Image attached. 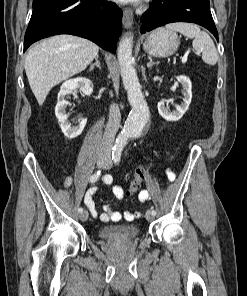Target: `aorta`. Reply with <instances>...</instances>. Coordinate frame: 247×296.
I'll list each match as a JSON object with an SVG mask.
<instances>
[{
	"label": "aorta",
	"mask_w": 247,
	"mask_h": 296,
	"mask_svg": "<svg viewBox=\"0 0 247 296\" xmlns=\"http://www.w3.org/2000/svg\"><path fill=\"white\" fill-rule=\"evenodd\" d=\"M133 36L125 35L119 43L117 58L123 85L132 107L122 132L116 140V147L123 149L130 137L139 136L149 119V109L141 90V85L132 65Z\"/></svg>",
	"instance_id": "obj_1"
}]
</instances>
